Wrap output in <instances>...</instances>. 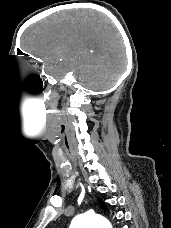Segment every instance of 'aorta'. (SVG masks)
Segmentation results:
<instances>
[{
	"label": "aorta",
	"mask_w": 171,
	"mask_h": 228,
	"mask_svg": "<svg viewBox=\"0 0 171 228\" xmlns=\"http://www.w3.org/2000/svg\"><path fill=\"white\" fill-rule=\"evenodd\" d=\"M70 228H112V225L106 218L100 215L85 213L76 216L72 220Z\"/></svg>",
	"instance_id": "obj_1"
}]
</instances>
